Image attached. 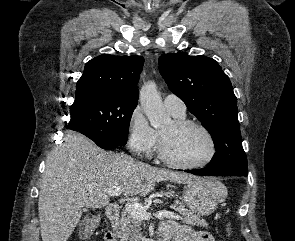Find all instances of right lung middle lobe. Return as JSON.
<instances>
[{
	"label": "right lung middle lobe",
	"mask_w": 295,
	"mask_h": 241,
	"mask_svg": "<svg viewBox=\"0 0 295 241\" xmlns=\"http://www.w3.org/2000/svg\"><path fill=\"white\" fill-rule=\"evenodd\" d=\"M137 101L102 92L75 99L67 128L80 132L103 149L127 143L129 123Z\"/></svg>",
	"instance_id": "1"
}]
</instances>
